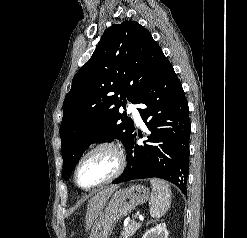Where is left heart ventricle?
Instances as JSON below:
<instances>
[{
  "label": "left heart ventricle",
  "instance_id": "obj_1",
  "mask_svg": "<svg viewBox=\"0 0 247 238\" xmlns=\"http://www.w3.org/2000/svg\"><path fill=\"white\" fill-rule=\"evenodd\" d=\"M117 159L109 150H100L87 157L78 170V181L83 186L95 185L113 174Z\"/></svg>",
  "mask_w": 247,
  "mask_h": 238
}]
</instances>
